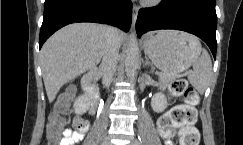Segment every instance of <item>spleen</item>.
Here are the masks:
<instances>
[{
    "mask_svg": "<svg viewBox=\"0 0 243 145\" xmlns=\"http://www.w3.org/2000/svg\"><path fill=\"white\" fill-rule=\"evenodd\" d=\"M212 76V61L206 50L193 62V71L188 74L191 85L203 94Z\"/></svg>",
    "mask_w": 243,
    "mask_h": 145,
    "instance_id": "1",
    "label": "spleen"
}]
</instances>
